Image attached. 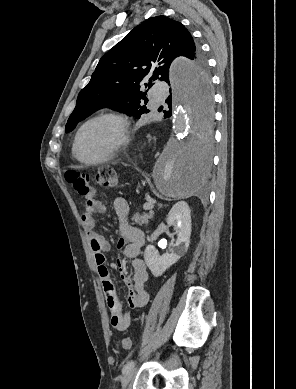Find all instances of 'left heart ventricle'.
<instances>
[{
    "mask_svg": "<svg viewBox=\"0 0 296 389\" xmlns=\"http://www.w3.org/2000/svg\"><path fill=\"white\" fill-rule=\"evenodd\" d=\"M118 138L119 131L114 121L109 119L96 121L82 132L78 153L86 160L97 159L105 154Z\"/></svg>",
    "mask_w": 296,
    "mask_h": 389,
    "instance_id": "obj_1",
    "label": "left heart ventricle"
}]
</instances>
